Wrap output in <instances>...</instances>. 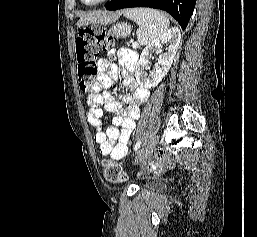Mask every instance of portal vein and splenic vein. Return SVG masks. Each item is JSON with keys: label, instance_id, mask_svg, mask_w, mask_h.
<instances>
[{"label": "portal vein and splenic vein", "instance_id": "18ae733b", "mask_svg": "<svg viewBox=\"0 0 257 237\" xmlns=\"http://www.w3.org/2000/svg\"><path fill=\"white\" fill-rule=\"evenodd\" d=\"M132 47H133V48H137V47H138V43L134 42V43L132 44Z\"/></svg>", "mask_w": 257, "mask_h": 237}]
</instances>
